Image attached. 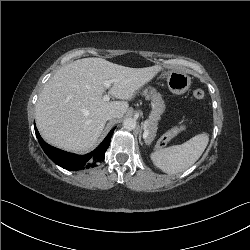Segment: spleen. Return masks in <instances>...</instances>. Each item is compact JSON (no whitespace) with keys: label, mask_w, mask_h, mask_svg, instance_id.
I'll list each match as a JSON object with an SVG mask.
<instances>
[{"label":"spleen","mask_w":250,"mask_h":250,"mask_svg":"<svg viewBox=\"0 0 250 250\" xmlns=\"http://www.w3.org/2000/svg\"><path fill=\"white\" fill-rule=\"evenodd\" d=\"M209 142L206 133H200L181 145L160 149L151 154L154 165L173 175L191 167L203 154Z\"/></svg>","instance_id":"spleen-1"}]
</instances>
